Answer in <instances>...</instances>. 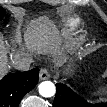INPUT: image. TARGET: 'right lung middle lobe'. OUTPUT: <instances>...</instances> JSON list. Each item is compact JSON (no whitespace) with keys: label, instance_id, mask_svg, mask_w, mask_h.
Returning a JSON list of instances; mask_svg holds the SVG:
<instances>
[{"label":"right lung middle lobe","instance_id":"obj_1","mask_svg":"<svg viewBox=\"0 0 107 107\" xmlns=\"http://www.w3.org/2000/svg\"><path fill=\"white\" fill-rule=\"evenodd\" d=\"M5 15V12L2 8H0V19Z\"/></svg>","mask_w":107,"mask_h":107}]
</instances>
